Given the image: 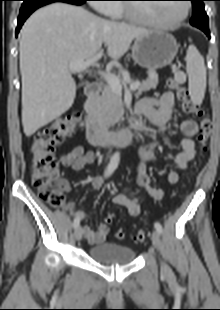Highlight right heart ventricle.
<instances>
[{"mask_svg":"<svg viewBox=\"0 0 220 310\" xmlns=\"http://www.w3.org/2000/svg\"><path fill=\"white\" fill-rule=\"evenodd\" d=\"M115 8L111 10L110 15L115 18H123L124 17V9L123 5H114Z\"/></svg>","mask_w":220,"mask_h":310,"instance_id":"e07e8e85","label":"right heart ventricle"}]
</instances>
